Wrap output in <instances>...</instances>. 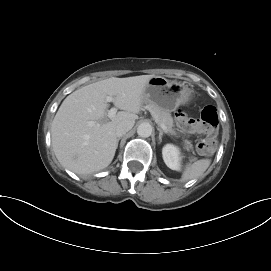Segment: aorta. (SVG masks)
Here are the masks:
<instances>
[{
	"label": "aorta",
	"instance_id": "762f6f07",
	"mask_svg": "<svg viewBox=\"0 0 271 271\" xmlns=\"http://www.w3.org/2000/svg\"><path fill=\"white\" fill-rule=\"evenodd\" d=\"M137 134L140 137L143 138H147L149 136H151L152 134V126L149 123H141L138 127H137Z\"/></svg>",
	"mask_w": 271,
	"mask_h": 271
}]
</instances>
